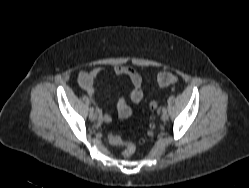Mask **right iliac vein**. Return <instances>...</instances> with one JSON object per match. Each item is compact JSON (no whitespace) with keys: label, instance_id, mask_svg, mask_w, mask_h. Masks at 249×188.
I'll list each match as a JSON object with an SVG mask.
<instances>
[{"label":"right iliac vein","instance_id":"63e3f726","mask_svg":"<svg viewBox=\"0 0 249 188\" xmlns=\"http://www.w3.org/2000/svg\"><path fill=\"white\" fill-rule=\"evenodd\" d=\"M89 118H90L91 121L96 120V119H97L96 113H94V112H93V113H90Z\"/></svg>","mask_w":249,"mask_h":188}]
</instances>
